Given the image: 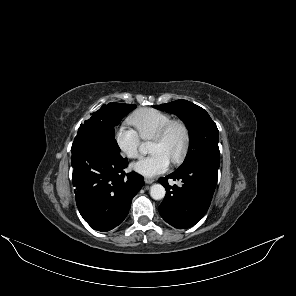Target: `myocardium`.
<instances>
[{
  "label": "myocardium",
  "mask_w": 296,
  "mask_h": 296,
  "mask_svg": "<svg viewBox=\"0 0 296 296\" xmlns=\"http://www.w3.org/2000/svg\"><path fill=\"white\" fill-rule=\"evenodd\" d=\"M179 126L184 134V140H183V145L182 148L179 152V154L171 161L173 164H178L180 163L184 157L186 156V153L189 148L190 144V129L187 123L184 120L181 119H172L169 121L162 129L161 131L153 138V141H164L167 139L169 136L171 130Z\"/></svg>",
  "instance_id": "obj_1"
}]
</instances>
